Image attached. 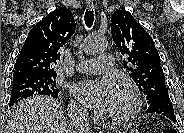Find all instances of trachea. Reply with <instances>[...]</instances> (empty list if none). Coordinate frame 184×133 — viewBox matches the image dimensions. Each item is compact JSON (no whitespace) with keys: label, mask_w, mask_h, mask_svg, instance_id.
<instances>
[{"label":"trachea","mask_w":184,"mask_h":133,"mask_svg":"<svg viewBox=\"0 0 184 133\" xmlns=\"http://www.w3.org/2000/svg\"><path fill=\"white\" fill-rule=\"evenodd\" d=\"M85 24L88 28H90L93 25L94 21V13L93 10H86L85 16H84Z\"/></svg>","instance_id":"1"}]
</instances>
